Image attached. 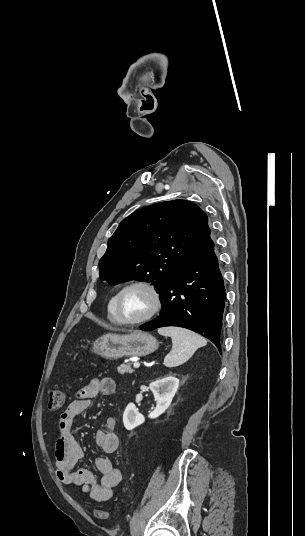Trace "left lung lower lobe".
Masks as SVG:
<instances>
[{"label": "left lung lower lobe", "instance_id": "1", "mask_svg": "<svg viewBox=\"0 0 305 536\" xmlns=\"http://www.w3.org/2000/svg\"><path fill=\"white\" fill-rule=\"evenodd\" d=\"M161 297L160 316L140 326L141 330L187 328L208 338L221 353L225 287L212 239L161 290Z\"/></svg>", "mask_w": 305, "mask_h": 536}]
</instances>
